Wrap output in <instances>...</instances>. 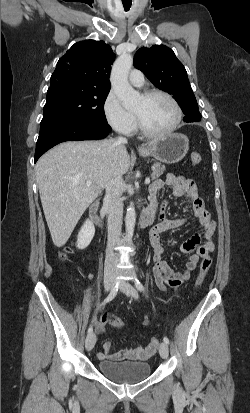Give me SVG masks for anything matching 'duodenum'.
I'll return each instance as SVG.
<instances>
[{"label": "duodenum", "instance_id": "duodenum-1", "mask_svg": "<svg viewBox=\"0 0 250 413\" xmlns=\"http://www.w3.org/2000/svg\"><path fill=\"white\" fill-rule=\"evenodd\" d=\"M92 215L98 225L103 226L104 221L100 215V206L99 203H95L91 208ZM155 210L153 208H147L139 218V224L142 228H146L151 225L155 219Z\"/></svg>", "mask_w": 250, "mask_h": 413}]
</instances>
